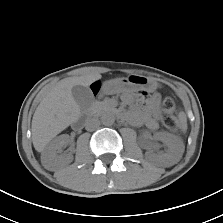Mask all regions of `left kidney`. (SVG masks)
Wrapping results in <instances>:
<instances>
[{
    "instance_id": "5707ae66",
    "label": "left kidney",
    "mask_w": 223,
    "mask_h": 223,
    "mask_svg": "<svg viewBox=\"0 0 223 223\" xmlns=\"http://www.w3.org/2000/svg\"><path fill=\"white\" fill-rule=\"evenodd\" d=\"M154 137L163 142L167 148L158 154L148 151L146 157L152 162L165 166L177 163L184 151L182 142L177 137L164 132L156 133Z\"/></svg>"
}]
</instances>
